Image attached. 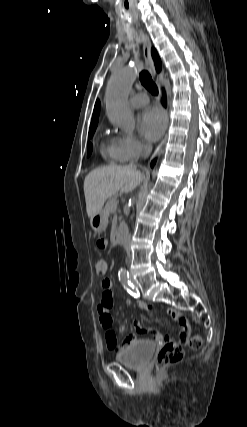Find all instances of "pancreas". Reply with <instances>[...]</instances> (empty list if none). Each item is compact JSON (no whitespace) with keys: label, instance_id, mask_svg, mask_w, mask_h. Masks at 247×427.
Masks as SVG:
<instances>
[{"label":"pancreas","instance_id":"cf45deb5","mask_svg":"<svg viewBox=\"0 0 247 427\" xmlns=\"http://www.w3.org/2000/svg\"><path fill=\"white\" fill-rule=\"evenodd\" d=\"M118 201L115 197H111L109 198V200L107 201L105 208H104V213L105 214H110L113 213L117 207Z\"/></svg>","mask_w":247,"mask_h":427}]
</instances>
